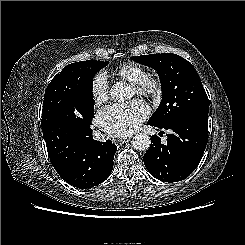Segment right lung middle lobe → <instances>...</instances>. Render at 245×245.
Masks as SVG:
<instances>
[{"mask_svg": "<svg viewBox=\"0 0 245 245\" xmlns=\"http://www.w3.org/2000/svg\"><path fill=\"white\" fill-rule=\"evenodd\" d=\"M109 62L87 60L69 64L78 90L75 111L65 120V127L69 131H90L94 118L93 78L94 75Z\"/></svg>", "mask_w": 245, "mask_h": 245, "instance_id": "dd1d6c3e", "label": "right lung middle lobe"}]
</instances>
